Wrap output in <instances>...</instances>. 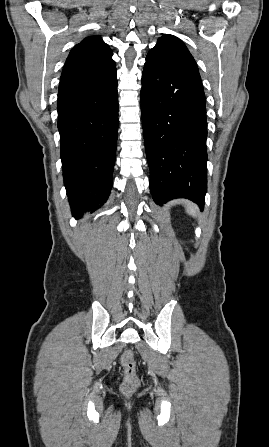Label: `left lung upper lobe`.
<instances>
[{
  "label": "left lung upper lobe",
  "instance_id": "left-lung-upper-lobe-1",
  "mask_svg": "<svg viewBox=\"0 0 269 447\" xmlns=\"http://www.w3.org/2000/svg\"><path fill=\"white\" fill-rule=\"evenodd\" d=\"M150 52H158L164 56L176 58L189 63L191 66L197 68V64L188 51L185 44L176 36L164 35L158 39V43Z\"/></svg>",
  "mask_w": 269,
  "mask_h": 447
}]
</instances>
